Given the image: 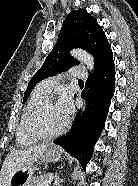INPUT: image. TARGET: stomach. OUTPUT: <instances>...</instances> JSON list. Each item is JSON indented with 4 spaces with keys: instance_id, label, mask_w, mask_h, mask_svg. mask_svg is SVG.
Returning a JSON list of instances; mask_svg holds the SVG:
<instances>
[{
    "instance_id": "stomach-1",
    "label": "stomach",
    "mask_w": 138,
    "mask_h": 186,
    "mask_svg": "<svg viewBox=\"0 0 138 186\" xmlns=\"http://www.w3.org/2000/svg\"><path fill=\"white\" fill-rule=\"evenodd\" d=\"M62 157V151L56 146H53L45 151L38 163L57 162ZM36 166H31L26 169H20L12 173L9 178V186H30L33 179V172Z\"/></svg>"
}]
</instances>
